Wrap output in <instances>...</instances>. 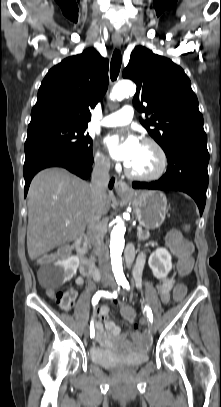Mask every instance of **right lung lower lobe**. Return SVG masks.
Returning <instances> with one entry per match:
<instances>
[{
  "instance_id": "right-lung-lower-lobe-1",
  "label": "right lung lower lobe",
  "mask_w": 221,
  "mask_h": 407,
  "mask_svg": "<svg viewBox=\"0 0 221 407\" xmlns=\"http://www.w3.org/2000/svg\"><path fill=\"white\" fill-rule=\"evenodd\" d=\"M92 160H83L78 158L70 151L64 150L55 146L41 145L31 149L26 153L24 163V178H25V197L27 195L30 182L34 175L42 169L48 167H63L70 172L78 175L83 179L90 177L92 170ZM114 179L109 183V187L112 188Z\"/></svg>"
}]
</instances>
